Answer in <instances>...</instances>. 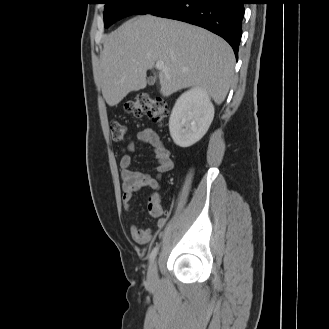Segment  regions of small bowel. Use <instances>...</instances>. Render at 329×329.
Here are the masks:
<instances>
[{"label": "small bowel", "mask_w": 329, "mask_h": 329, "mask_svg": "<svg viewBox=\"0 0 329 329\" xmlns=\"http://www.w3.org/2000/svg\"><path fill=\"white\" fill-rule=\"evenodd\" d=\"M138 140L152 148L156 165V176L148 173L131 169V155L134 150L133 144L127 146L120 158L121 180H122V200L124 209L130 213L131 200L133 194L145 188L152 189L148 198L149 214L157 219V227L163 228L166 224V218L163 217V208L161 205L160 178L163 173L170 171L173 162L169 150L162 143L159 135L151 129H143L138 133ZM130 234L132 239L139 245L149 244L153 240V234L150 229H140L137 224H130Z\"/></svg>", "instance_id": "small-bowel-1"}]
</instances>
